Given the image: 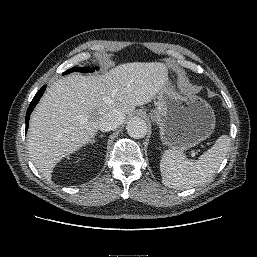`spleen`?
<instances>
[{
  "label": "spleen",
  "instance_id": "spleen-1",
  "mask_svg": "<svg viewBox=\"0 0 257 257\" xmlns=\"http://www.w3.org/2000/svg\"><path fill=\"white\" fill-rule=\"evenodd\" d=\"M230 138L220 136L198 160H188L177 150H166L160 161L162 183L171 188L188 189L210 180L229 150Z\"/></svg>",
  "mask_w": 257,
  "mask_h": 257
}]
</instances>
